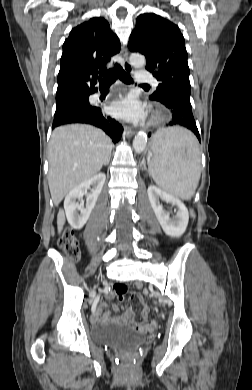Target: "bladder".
Segmentation results:
<instances>
[{
  "label": "bladder",
  "instance_id": "bladder-1",
  "mask_svg": "<svg viewBox=\"0 0 252 390\" xmlns=\"http://www.w3.org/2000/svg\"><path fill=\"white\" fill-rule=\"evenodd\" d=\"M93 342L111 347L132 348L145 341V337L129 327L117 323L93 325Z\"/></svg>",
  "mask_w": 252,
  "mask_h": 390
}]
</instances>
